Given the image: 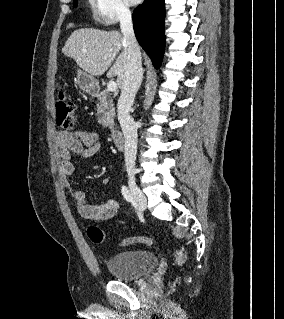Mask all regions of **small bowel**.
<instances>
[{
    "label": "small bowel",
    "instance_id": "obj_1",
    "mask_svg": "<svg viewBox=\"0 0 284 319\" xmlns=\"http://www.w3.org/2000/svg\"><path fill=\"white\" fill-rule=\"evenodd\" d=\"M57 141L60 171L65 178H68L74 172V158H90L101 150L98 134L89 129L59 132ZM73 195L77 211L85 220L107 221L118 216L121 211V204L117 199H110L99 204H90L86 201L81 190L75 189Z\"/></svg>",
    "mask_w": 284,
    "mask_h": 319
}]
</instances>
